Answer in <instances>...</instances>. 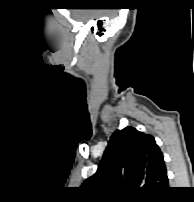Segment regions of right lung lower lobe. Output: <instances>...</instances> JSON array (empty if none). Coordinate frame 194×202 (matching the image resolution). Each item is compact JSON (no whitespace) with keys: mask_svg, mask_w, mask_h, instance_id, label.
I'll return each mask as SVG.
<instances>
[{"mask_svg":"<svg viewBox=\"0 0 194 202\" xmlns=\"http://www.w3.org/2000/svg\"><path fill=\"white\" fill-rule=\"evenodd\" d=\"M163 194H164V191H163L162 193L158 194L157 196H161V195H163Z\"/></svg>","mask_w":194,"mask_h":202,"instance_id":"right-lung-lower-lobe-1","label":"right lung lower lobe"}]
</instances>
